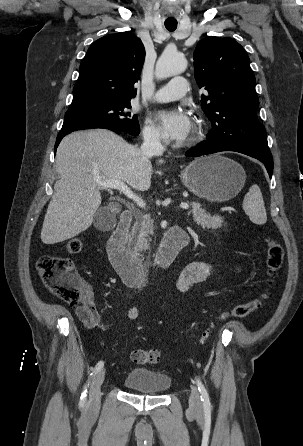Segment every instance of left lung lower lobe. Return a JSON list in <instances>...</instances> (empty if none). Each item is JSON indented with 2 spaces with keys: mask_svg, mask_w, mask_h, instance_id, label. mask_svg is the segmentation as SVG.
<instances>
[{
  "mask_svg": "<svg viewBox=\"0 0 303 446\" xmlns=\"http://www.w3.org/2000/svg\"><path fill=\"white\" fill-rule=\"evenodd\" d=\"M221 151H235L260 160L265 164L269 176H272L273 160L269 150L250 147L235 143L210 144L202 143L195 148L190 149L185 155L189 157H198L201 155L212 154Z\"/></svg>",
  "mask_w": 303,
  "mask_h": 446,
  "instance_id": "0a47b994",
  "label": "left lung lower lobe"
}]
</instances>
